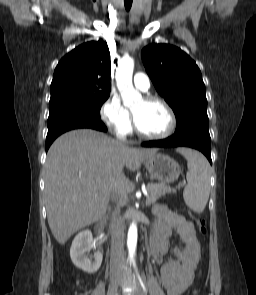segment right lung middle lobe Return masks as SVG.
Wrapping results in <instances>:
<instances>
[{"instance_id": "right-lung-middle-lobe-1", "label": "right lung middle lobe", "mask_w": 256, "mask_h": 295, "mask_svg": "<svg viewBox=\"0 0 256 295\" xmlns=\"http://www.w3.org/2000/svg\"><path fill=\"white\" fill-rule=\"evenodd\" d=\"M109 96L64 97L50 101L48 122L60 118H99Z\"/></svg>"}]
</instances>
